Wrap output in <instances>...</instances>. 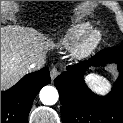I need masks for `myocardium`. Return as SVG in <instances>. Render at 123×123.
<instances>
[{
  "label": "myocardium",
  "mask_w": 123,
  "mask_h": 123,
  "mask_svg": "<svg viewBox=\"0 0 123 123\" xmlns=\"http://www.w3.org/2000/svg\"><path fill=\"white\" fill-rule=\"evenodd\" d=\"M103 32L99 28L87 31L73 46L72 55L77 60L89 57L100 45Z\"/></svg>",
  "instance_id": "myocardium-1"
}]
</instances>
